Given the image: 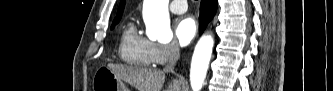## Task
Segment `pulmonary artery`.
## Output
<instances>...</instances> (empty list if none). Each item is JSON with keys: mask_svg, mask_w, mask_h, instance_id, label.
<instances>
[{"mask_svg": "<svg viewBox=\"0 0 333 91\" xmlns=\"http://www.w3.org/2000/svg\"><path fill=\"white\" fill-rule=\"evenodd\" d=\"M170 10L175 14L185 13L187 11L186 0H173L170 4Z\"/></svg>", "mask_w": 333, "mask_h": 91, "instance_id": "1", "label": "pulmonary artery"}]
</instances>
